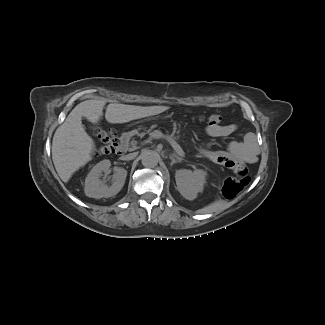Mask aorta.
I'll return each mask as SVG.
<instances>
[{
    "instance_id": "762f6f07",
    "label": "aorta",
    "mask_w": 325,
    "mask_h": 325,
    "mask_svg": "<svg viewBox=\"0 0 325 325\" xmlns=\"http://www.w3.org/2000/svg\"><path fill=\"white\" fill-rule=\"evenodd\" d=\"M159 161V155L153 151L147 150L141 154V162L144 167L154 168Z\"/></svg>"
}]
</instances>
